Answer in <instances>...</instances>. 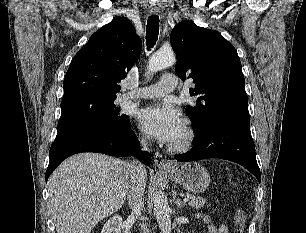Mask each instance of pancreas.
Listing matches in <instances>:
<instances>
[{
  "mask_svg": "<svg viewBox=\"0 0 306 233\" xmlns=\"http://www.w3.org/2000/svg\"><path fill=\"white\" fill-rule=\"evenodd\" d=\"M186 197L189 198V206L193 207V208H196V209H199L203 206H205L207 200L202 198V197H199V196H195L193 194H186Z\"/></svg>",
  "mask_w": 306,
  "mask_h": 233,
  "instance_id": "pancreas-1",
  "label": "pancreas"
}]
</instances>
